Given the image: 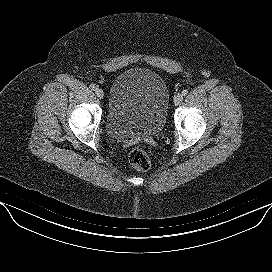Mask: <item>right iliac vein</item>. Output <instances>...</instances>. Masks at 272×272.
Segmentation results:
<instances>
[{
	"label": "right iliac vein",
	"mask_w": 272,
	"mask_h": 272,
	"mask_svg": "<svg viewBox=\"0 0 272 272\" xmlns=\"http://www.w3.org/2000/svg\"><path fill=\"white\" fill-rule=\"evenodd\" d=\"M95 94L99 99H102L104 97V92L101 88H96L95 89Z\"/></svg>",
	"instance_id": "63e3f726"
}]
</instances>
